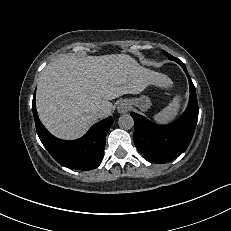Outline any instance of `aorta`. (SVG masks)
<instances>
[{"label": "aorta", "mask_w": 231, "mask_h": 231, "mask_svg": "<svg viewBox=\"0 0 231 231\" xmlns=\"http://www.w3.org/2000/svg\"><path fill=\"white\" fill-rule=\"evenodd\" d=\"M118 125L120 128L128 130L134 126V120L130 115L125 114L119 118Z\"/></svg>", "instance_id": "obj_1"}]
</instances>
